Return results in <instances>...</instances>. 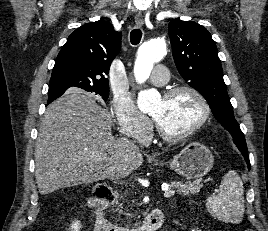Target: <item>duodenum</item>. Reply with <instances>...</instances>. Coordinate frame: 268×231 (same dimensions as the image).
Returning <instances> with one entry per match:
<instances>
[{
  "label": "duodenum",
  "instance_id": "410a0bca",
  "mask_svg": "<svg viewBox=\"0 0 268 231\" xmlns=\"http://www.w3.org/2000/svg\"><path fill=\"white\" fill-rule=\"evenodd\" d=\"M113 198V191L107 184L97 187L93 197L90 198V205L94 208L95 231H154L162 225L163 215L160 209L150 211L143 224L136 229L129 230L115 225L103 213V206L110 203Z\"/></svg>",
  "mask_w": 268,
  "mask_h": 231
}]
</instances>
